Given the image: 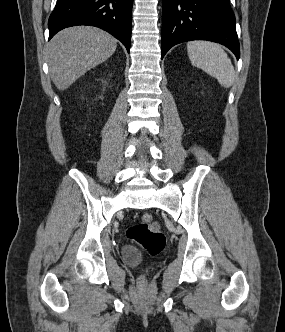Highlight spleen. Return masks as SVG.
<instances>
[{
	"label": "spleen",
	"instance_id": "3e777b00",
	"mask_svg": "<svg viewBox=\"0 0 285 332\" xmlns=\"http://www.w3.org/2000/svg\"><path fill=\"white\" fill-rule=\"evenodd\" d=\"M187 52L191 63L216 78L221 86L229 88L233 85L234 67L220 45L210 41H190Z\"/></svg>",
	"mask_w": 285,
	"mask_h": 332
}]
</instances>
